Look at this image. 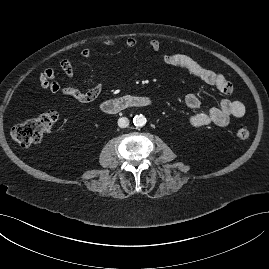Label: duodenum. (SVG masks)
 Wrapping results in <instances>:
<instances>
[{
	"mask_svg": "<svg viewBox=\"0 0 269 269\" xmlns=\"http://www.w3.org/2000/svg\"><path fill=\"white\" fill-rule=\"evenodd\" d=\"M152 100L145 96H123L109 99L101 104V109L107 114H117L129 108L149 107Z\"/></svg>",
	"mask_w": 269,
	"mask_h": 269,
	"instance_id": "410a0bca",
	"label": "duodenum"
}]
</instances>
